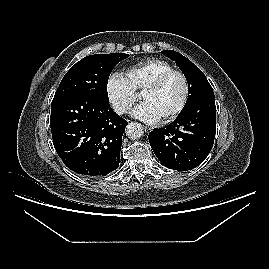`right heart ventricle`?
Listing matches in <instances>:
<instances>
[{
  "mask_svg": "<svg viewBox=\"0 0 269 269\" xmlns=\"http://www.w3.org/2000/svg\"><path fill=\"white\" fill-rule=\"evenodd\" d=\"M172 69L173 66L164 60L148 59L128 68L126 78L134 92H140L158 76Z\"/></svg>",
  "mask_w": 269,
  "mask_h": 269,
  "instance_id": "1",
  "label": "right heart ventricle"
}]
</instances>
